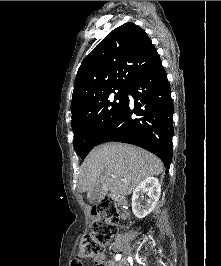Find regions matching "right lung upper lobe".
<instances>
[{"instance_id":"1","label":"right lung upper lobe","mask_w":221,"mask_h":266,"mask_svg":"<svg viewBox=\"0 0 221 266\" xmlns=\"http://www.w3.org/2000/svg\"><path fill=\"white\" fill-rule=\"evenodd\" d=\"M161 59L146 32L128 22L112 30L81 63L73 90L72 116L95 95L114 88H129Z\"/></svg>"}]
</instances>
